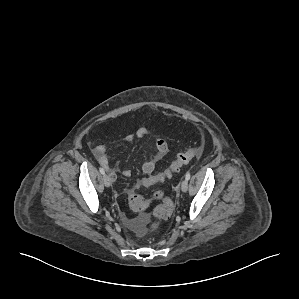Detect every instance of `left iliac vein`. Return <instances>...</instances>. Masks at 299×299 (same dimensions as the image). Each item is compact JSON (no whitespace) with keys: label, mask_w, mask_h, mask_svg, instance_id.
<instances>
[{"label":"left iliac vein","mask_w":299,"mask_h":299,"mask_svg":"<svg viewBox=\"0 0 299 299\" xmlns=\"http://www.w3.org/2000/svg\"><path fill=\"white\" fill-rule=\"evenodd\" d=\"M188 189V181L186 179H184L182 182H181V190L183 192H186Z\"/></svg>","instance_id":"4c4485c4"}]
</instances>
